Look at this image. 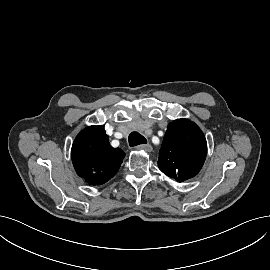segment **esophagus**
Instances as JSON below:
<instances>
[{
	"label": "esophagus",
	"mask_w": 270,
	"mask_h": 270,
	"mask_svg": "<svg viewBox=\"0 0 270 270\" xmlns=\"http://www.w3.org/2000/svg\"><path fill=\"white\" fill-rule=\"evenodd\" d=\"M137 149H142V150H145L147 152H151L152 146L150 144H141V145L137 146Z\"/></svg>",
	"instance_id": "1"
}]
</instances>
